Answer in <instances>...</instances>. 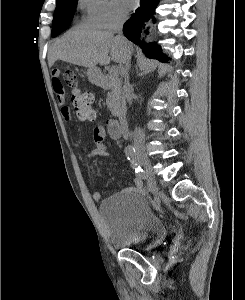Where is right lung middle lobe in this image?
Returning <instances> with one entry per match:
<instances>
[{"instance_id": "obj_1", "label": "right lung middle lobe", "mask_w": 245, "mask_h": 300, "mask_svg": "<svg viewBox=\"0 0 245 300\" xmlns=\"http://www.w3.org/2000/svg\"><path fill=\"white\" fill-rule=\"evenodd\" d=\"M76 6L77 0H57L52 22V37L63 32L70 25Z\"/></svg>"}]
</instances>
